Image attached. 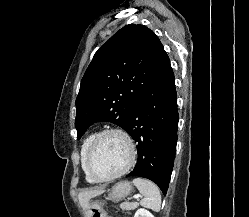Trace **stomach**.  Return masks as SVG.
Listing matches in <instances>:
<instances>
[{
  "instance_id": "1",
  "label": "stomach",
  "mask_w": 249,
  "mask_h": 217,
  "mask_svg": "<svg viewBox=\"0 0 249 217\" xmlns=\"http://www.w3.org/2000/svg\"><path fill=\"white\" fill-rule=\"evenodd\" d=\"M132 192V184L128 181H122L118 182L113 188L109 195V199L113 202H119L125 197H127ZM102 203H97L96 206L99 210H97V213L101 210Z\"/></svg>"
}]
</instances>
